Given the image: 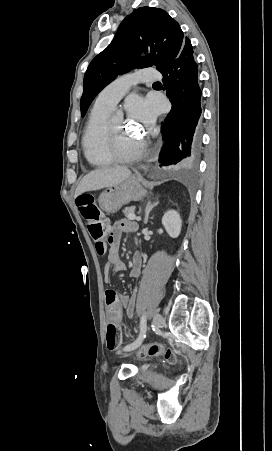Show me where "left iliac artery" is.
<instances>
[{
	"label": "left iliac artery",
	"mask_w": 272,
	"mask_h": 451,
	"mask_svg": "<svg viewBox=\"0 0 272 451\" xmlns=\"http://www.w3.org/2000/svg\"><path fill=\"white\" fill-rule=\"evenodd\" d=\"M146 314L144 313L141 317V321H140V334L138 336V338L131 344L125 346L124 350L125 351H131L135 348H137L142 341L144 340V338L146 337Z\"/></svg>",
	"instance_id": "left-iliac-artery-1"
}]
</instances>
